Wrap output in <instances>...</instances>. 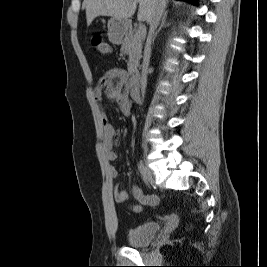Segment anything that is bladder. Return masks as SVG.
I'll return each instance as SVG.
<instances>
[{
    "mask_svg": "<svg viewBox=\"0 0 267 267\" xmlns=\"http://www.w3.org/2000/svg\"><path fill=\"white\" fill-rule=\"evenodd\" d=\"M160 225L156 222H148L131 229L127 234V243L131 247H144L158 235Z\"/></svg>",
    "mask_w": 267,
    "mask_h": 267,
    "instance_id": "31cf9c89",
    "label": "bladder"
}]
</instances>
